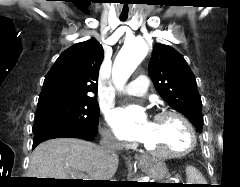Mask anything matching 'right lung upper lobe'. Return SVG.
Returning a JSON list of instances; mask_svg holds the SVG:
<instances>
[{
  "mask_svg": "<svg viewBox=\"0 0 240 187\" xmlns=\"http://www.w3.org/2000/svg\"><path fill=\"white\" fill-rule=\"evenodd\" d=\"M103 48L95 39L77 43L59 56L47 73L38 105L58 100L93 99L98 92Z\"/></svg>",
  "mask_w": 240,
  "mask_h": 187,
  "instance_id": "obj_1",
  "label": "right lung upper lobe"
}]
</instances>
